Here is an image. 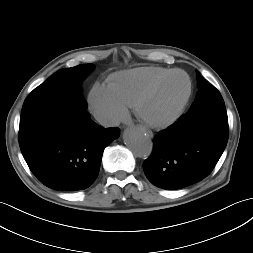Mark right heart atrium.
Listing matches in <instances>:
<instances>
[{"instance_id":"d8ad5b80","label":"right heart atrium","mask_w":253,"mask_h":253,"mask_svg":"<svg viewBox=\"0 0 253 253\" xmlns=\"http://www.w3.org/2000/svg\"><path fill=\"white\" fill-rule=\"evenodd\" d=\"M88 102L96 118L104 124H116L127 116V107L108 85L95 83L89 92Z\"/></svg>"}]
</instances>
